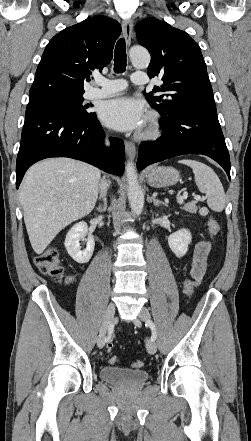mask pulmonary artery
<instances>
[{"label": "pulmonary artery", "mask_w": 251, "mask_h": 441, "mask_svg": "<svg viewBox=\"0 0 251 441\" xmlns=\"http://www.w3.org/2000/svg\"><path fill=\"white\" fill-rule=\"evenodd\" d=\"M131 81L137 85H143L148 82L147 75L144 72L137 71L132 74ZM95 87L91 88L86 96L89 99L105 98L112 96L126 88V81L123 79H106L98 77L95 79Z\"/></svg>", "instance_id": "1"}]
</instances>
